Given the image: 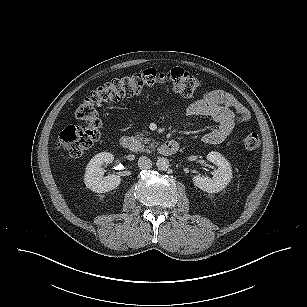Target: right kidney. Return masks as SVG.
<instances>
[{
    "label": "right kidney",
    "instance_id": "1",
    "mask_svg": "<svg viewBox=\"0 0 307 307\" xmlns=\"http://www.w3.org/2000/svg\"><path fill=\"white\" fill-rule=\"evenodd\" d=\"M114 155L109 152H101L95 155L87 164L84 183L87 188L97 193H105L116 189L121 179L117 175L104 176L101 167L104 163H112Z\"/></svg>",
    "mask_w": 307,
    "mask_h": 307
}]
</instances>
